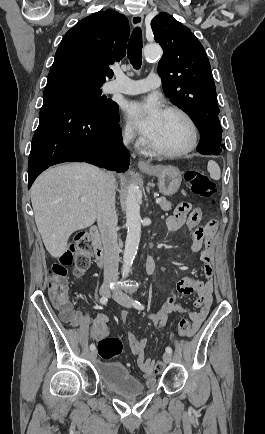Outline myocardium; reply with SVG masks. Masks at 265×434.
Instances as JSON below:
<instances>
[{
    "mask_svg": "<svg viewBox=\"0 0 265 434\" xmlns=\"http://www.w3.org/2000/svg\"><path fill=\"white\" fill-rule=\"evenodd\" d=\"M164 113H176L180 115L188 124L189 127V140L187 144L182 147L181 149L175 150V151H167L158 149L155 146H153L150 142L148 143L149 150L156 156L164 157V158H180L183 157L190 152H192L198 143L199 138V132L198 127L192 116L182 107L178 105H171L168 106Z\"/></svg>",
    "mask_w": 265,
    "mask_h": 434,
    "instance_id": "f54148a6",
    "label": "myocardium"
}]
</instances>
